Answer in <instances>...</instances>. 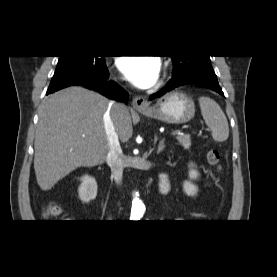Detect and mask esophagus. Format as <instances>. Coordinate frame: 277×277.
Instances as JSON below:
<instances>
[{"label":"esophagus","instance_id":"esophagus-1","mask_svg":"<svg viewBox=\"0 0 277 277\" xmlns=\"http://www.w3.org/2000/svg\"><path fill=\"white\" fill-rule=\"evenodd\" d=\"M132 105L138 111H143L148 108V103H147L146 99L142 96L134 97L133 101H132Z\"/></svg>","mask_w":277,"mask_h":277}]
</instances>
